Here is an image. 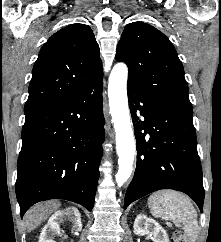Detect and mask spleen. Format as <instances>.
<instances>
[{
  "mask_svg": "<svg viewBox=\"0 0 221 242\" xmlns=\"http://www.w3.org/2000/svg\"><path fill=\"white\" fill-rule=\"evenodd\" d=\"M148 205L154 217L173 221L191 242L196 241L199 233L197 212L186 195L173 190L157 191L149 196Z\"/></svg>",
  "mask_w": 221,
  "mask_h": 242,
  "instance_id": "obj_1",
  "label": "spleen"
}]
</instances>
